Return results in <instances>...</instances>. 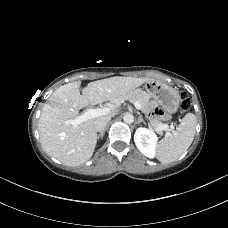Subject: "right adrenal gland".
Masks as SVG:
<instances>
[{"mask_svg":"<svg viewBox=\"0 0 228 228\" xmlns=\"http://www.w3.org/2000/svg\"><path fill=\"white\" fill-rule=\"evenodd\" d=\"M104 134H105V129L98 134L97 138L103 139Z\"/></svg>","mask_w":228,"mask_h":228,"instance_id":"1","label":"right adrenal gland"}]
</instances>
